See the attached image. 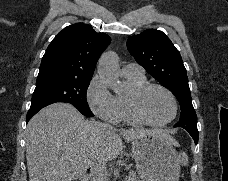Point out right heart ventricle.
<instances>
[{"label": "right heart ventricle", "instance_id": "right-heart-ventricle-1", "mask_svg": "<svg viewBox=\"0 0 228 181\" xmlns=\"http://www.w3.org/2000/svg\"><path fill=\"white\" fill-rule=\"evenodd\" d=\"M121 78V82L118 79ZM115 82L124 86L123 91H118L116 101L119 109L120 118L130 124H138L139 122L134 118L131 109L130 101L134 91L147 83L144 75H128L127 72L118 69L116 73Z\"/></svg>", "mask_w": 228, "mask_h": 181}]
</instances>
